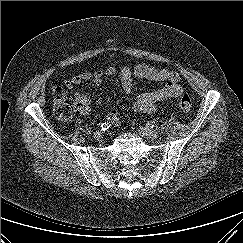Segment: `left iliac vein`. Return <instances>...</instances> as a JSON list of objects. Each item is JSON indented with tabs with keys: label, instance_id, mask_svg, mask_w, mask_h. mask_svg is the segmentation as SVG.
Wrapping results in <instances>:
<instances>
[{
	"label": "left iliac vein",
	"instance_id": "obj_1",
	"mask_svg": "<svg viewBox=\"0 0 243 243\" xmlns=\"http://www.w3.org/2000/svg\"><path fill=\"white\" fill-rule=\"evenodd\" d=\"M138 131L140 132V134H142V136H144L145 138L148 139H157L158 138V133L154 130H151L149 128L146 127H139Z\"/></svg>",
	"mask_w": 243,
	"mask_h": 243
}]
</instances>
